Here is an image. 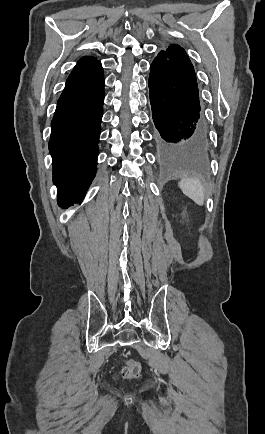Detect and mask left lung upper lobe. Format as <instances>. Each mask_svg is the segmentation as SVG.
Here are the masks:
<instances>
[{
  "instance_id": "5c2ea615",
  "label": "left lung upper lobe",
  "mask_w": 265,
  "mask_h": 434,
  "mask_svg": "<svg viewBox=\"0 0 265 434\" xmlns=\"http://www.w3.org/2000/svg\"><path fill=\"white\" fill-rule=\"evenodd\" d=\"M159 54L165 55L171 60L175 61L186 72V74L191 78V80L196 85H198L193 64L191 63L187 53L182 47L176 44H172L166 50H161Z\"/></svg>"
}]
</instances>
